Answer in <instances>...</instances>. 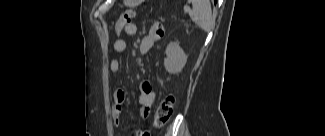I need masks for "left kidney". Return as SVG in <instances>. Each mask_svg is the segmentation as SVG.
<instances>
[{
	"label": "left kidney",
	"mask_w": 325,
	"mask_h": 136,
	"mask_svg": "<svg viewBox=\"0 0 325 136\" xmlns=\"http://www.w3.org/2000/svg\"><path fill=\"white\" fill-rule=\"evenodd\" d=\"M166 58L164 59L165 69L169 74L179 73L187 62V55L179 46V43L170 42L166 47Z\"/></svg>",
	"instance_id": "1"
}]
</instances>
